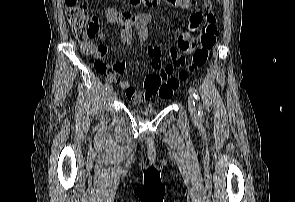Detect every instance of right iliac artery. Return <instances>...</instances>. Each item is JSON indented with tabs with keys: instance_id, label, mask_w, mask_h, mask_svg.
Wrapping results in <instances>:
<instances>
[{
	"instance_id": "right-iliac-artery-1",
	"label": "right iliac artery",
	"mask_w": 295,
	"mask_h": 202,
	"mask_svg": "<svg viewBox=\"0 0 295 202\" xmlns=\"http://www.w3.org/2000/svg\"><path fill=\"white\" fill-rule=\"evenodd\" d=\"M108 87H109V83H108V82H106V83L104 84V88L107 90V89H108Z\"/></svg>"
}]
</instances>
